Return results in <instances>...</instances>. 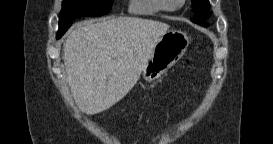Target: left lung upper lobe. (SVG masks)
Wrapping results in <instances>:
<instances>
[{
	"label": "left lung upper lobe",
	"instance_id": "left-lung-upper-lobe-1",
	"mask_svg": "<svg viewBox=\"0 0 273 144\" xmlns=\"http://www.w3.org/2000/svg\"><path fill=\"white\" fill-rule=\"evenodd\" d=\"M192 3H193V11L197 15L195 17H192L191 20H194L197 17L209 14L208 0H192Z\"/></svg>",
	"mask_w": 273,
	"mask_h": 144
}]
</instances>
